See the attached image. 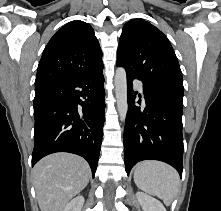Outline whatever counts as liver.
<instances>
[{
	"instance_id": "6515ba94",
	"label": "liver",
	"mask_w": 221,
	"mask_h": 211,
	"mask_svg": "<svg viewBox=\"0 0 221 211\" xmlns=\"http://www.w3.org/2000/svg\"><path fill=\"white\" fill-rule=\"evenodd\" d=\"M34 186L41 211H63L88 184L90 167L81 157L55 153L33 169Z\"/></svg>"
}]
</instances>
